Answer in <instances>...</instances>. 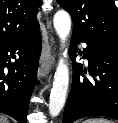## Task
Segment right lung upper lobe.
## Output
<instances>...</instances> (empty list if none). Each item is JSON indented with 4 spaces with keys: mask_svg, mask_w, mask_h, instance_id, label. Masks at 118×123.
Instances as JSON below:
<instances>
[{
    "mask_svg": "<svg viewBox=\"0 0 118 123\" xmlns=\"http://www.w3.org/2000/svg\"><path fill=\"white\" fill-rule=\"evenodd\" d=\"M41 0H0V45L29 38L39 30Z\"/></svg>",
    "mask_w": 118,
    "mask_h": 123,
    "instance_id": "cb5924a9",
    "label": "right lung upper lobe"
}]
</instances>
